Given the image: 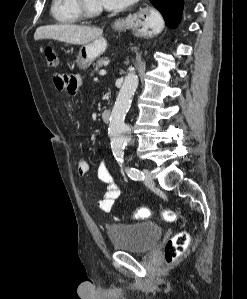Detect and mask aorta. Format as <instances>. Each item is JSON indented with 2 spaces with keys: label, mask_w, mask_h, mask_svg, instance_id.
Segmentation results:
<instances>
[{
  "label": "aorta",
  "mask_w": 247,
  "mask_h": 299,
  "mask_svg": "<svg viewBox=\"0 0 247 299\" xmlns=\"http://www.w3.org/2000/svg\"><path fill=\"white\" fill-rule=\"evenodd\" d=\"M138 87V76L132 70L125 79L112 109L108 133L114 155L123 154L124 147L131 139V130L125 123V116L130 109L131 101Z\"/></svg>",
  "instance_id": "1"
}]
</instances>
